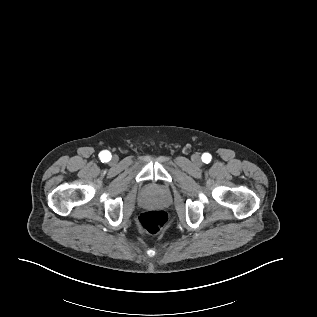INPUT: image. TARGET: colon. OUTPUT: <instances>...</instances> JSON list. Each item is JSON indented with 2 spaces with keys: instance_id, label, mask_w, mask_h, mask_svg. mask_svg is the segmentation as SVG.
<instances>
[{
  "instance_id": "1",
  "label": "colon",
  "mask_w": 317,
  "mask_h": 317,
  "mask_svg": "<svg viewBox=\"0 0 317 317\" xmlns=\"http://www.w3.org/2000/svg\"><path fill=\"white\" fill-rule=\"evenodd\" d=\"M138 222L146 233L156 234L167 223V213L162 209L148 210L140 214Z\"/></svg>"
}]
</instances>
